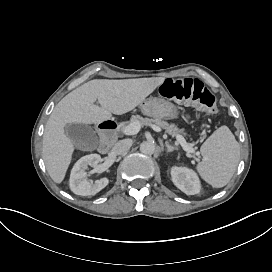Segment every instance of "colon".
Here are the masks:
<instances>
[{"label":"colon","mask_w":272,"mask_h":272,"mask_svg":"<svg viewBox=\"0 0 272 272\" xmlns=\"http://www.w3.org/2000/svg\"><path fill=\"white\" fill-rule=\"evenodd\" d=\"M163 98L201 107L208 115L217 110V100L213 92L199 78L165 80L160 87ZM207 122H204L206 126Z\"/></svg>","instance_id":"obj_1"}]
</instances>
